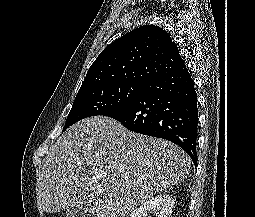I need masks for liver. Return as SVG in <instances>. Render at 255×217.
I'll return each instance as SVG.
<instances>
[{
	"label": "liver",
	"instance_id": "liver-1",
	"mask_svg": "<svg viewBox=\"0 0 255 217\" xmlns=\"http://www.w3.org/2000/svg\"><path fill=\"white\" fill-rule=\"evenodd\" d=\"M190 169V157L176 144L94 116L71 126L50 148L37 202L47 213L84 205L93 217H125Z\"/></svg>",
	"mask_w": 255,
	"mask_h": 217
}]
</instances>
